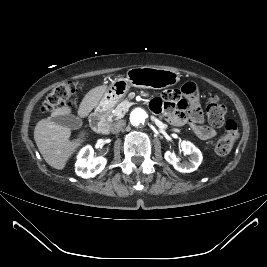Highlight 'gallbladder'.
Segmentation results:
<instances>
[{
  "instance_id": "obj_1",
  "label": "gallbladder",
  "mask_w": 267,
  "mask_h": 267,
  "mask_svg": "<svg viewBox=\"0 0 267 267\" xmlns=\"http://www.w3.org/2000/svg\"><path fill=\"white\" fill-rule=\"evenodd\" d=\"M52 121L55 122L56 124H59L61 126H64V127H67L73 130L79 129L83 125L82 119L73 114L56 116L52 119Z\"/></svg>"
}]
</instances>
